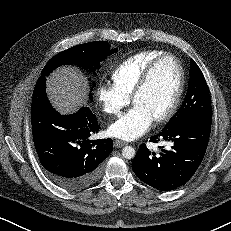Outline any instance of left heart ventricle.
Wrapping results in <instances>:
<instances>
[{
    "label": "left heart ventricle",
    "mask_w": 231,
    "mask_h": 231,
    "mask_svg": "<svg viewBox=\"0 0 231 231\" xmlns=\"http://www.w3.org/2000/svg\"><path fill=\"white\" fill-rule=\"evenodd\" d=\"M179 82V70L173 59L159 62L144 90L137 96L134 105L146 109L154 119L170 106Z\"/></svg>",
    "instance_id": "left-heart-ventricle-1"
}]
</instances>
